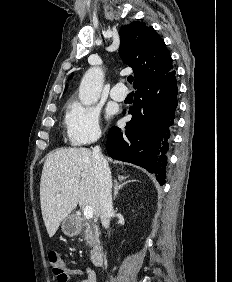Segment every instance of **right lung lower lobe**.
<instances>
[{"label": "right lung lower lobe", "instance_id": "right-lung-lower-lobe-1", "mask_svg": "<svg viewBox=\"0 0 232 282\" xmlns=\"http://www.w3.org/2000/svg\"><path fill=\"white\" fill-rule=\"evenodd\" d=\"M135 89L134 105L128 111L133 116L124 129L111 127L107 152L114 159L155 173L158 182L163 185L167 164L165 153L177 107L175 71L146 80Z\"/></svg>", "mask_w": 232, "mask_h": 282}]
</instances>
